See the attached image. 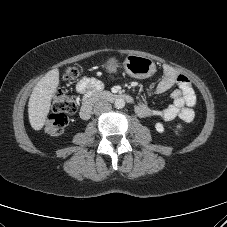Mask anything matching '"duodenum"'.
Masks as SVG:
<instances>
[{"mask_svg":"<svg viewBox=\"0 0 227 227\" xmlns=\"http://www.w3.org/2000/svg\"><path fill=\"white\" fill-rule=\"evenodd\" d=\"M117 100H124L127 102H131L132 98L129 95L121 94V93H111L107 91L96 92L90 96H88L80 110V116L82 119L87 120L90 118L93 106L97 102H114Z\"/></svg>","mask_w":227,"mask_h":227,"instance_id":"410a0bca","label":"duodenum"}]
</instances>
